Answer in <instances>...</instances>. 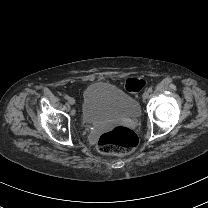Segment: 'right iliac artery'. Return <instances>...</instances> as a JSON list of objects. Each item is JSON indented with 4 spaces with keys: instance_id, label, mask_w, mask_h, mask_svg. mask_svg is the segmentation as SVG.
<instances>
[{
    "instance_id": "right-iliac-artery-1",
    "label": "right iliac artery",
    "mask_w": 208,
    "mask_h": 208,
    "mask_svg": "<svg viewBox=\"0 0 208 208\" xmlns=\"http://www.w3.org/2000/svg\"><path fill=\"white\" fill-rule=\"evenodd\" d=\"M64 98H65L66 100H69V99H70V97H69L68 95H64Z\"/></svg>"
}]
</instances>
